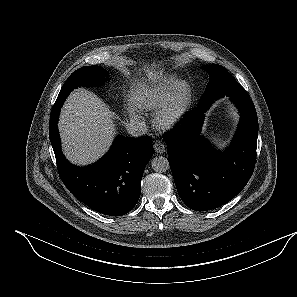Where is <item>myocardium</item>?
Returning a JSON list of instances; mask_svg holds the SVG:
<instances>
[{
  "label": "myocardium",
  "mask_w": 297,
  "mask_h": 297,
  "mask_svg": "<svg viewBox=\"0 0 297 297\" xmlns=\"http://www.w3.org/2000/svg\"><path fill=\"white\" fill-rule=\"evenodd\" d=\"M191 103V88L179 82L173 92L156 110L154 121L161 129H172L186 116Z\"/></svg>",
  "instance_id": "myocardium-1"
}]
</instances>
